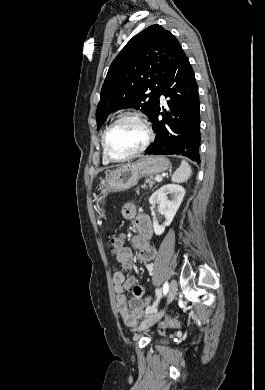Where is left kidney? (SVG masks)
Listing matches in <instances>:
<instances>
[{
  "instance_id": "left-kidney-1",
  "label": "left kidney",
  "mask_w": 265,
  "mask_h": 390,
  "mask_svg": "<svg viewBox=\"0 0 265 390\" xmlns=\"http://www.w3.org/2000/svg\"><path fill=\"white\" fill-rule=\"evenodd\" d=\"M168 195L170 199H168ZM184 195V187L176 184L164 185L152 194L149 203L153 206L158 204L159 213L165 217V223L162 225H159L155 216L153 217V228L156 235L163 234L165 227L171 224Z\"/></svg>"
}]
</instances>
